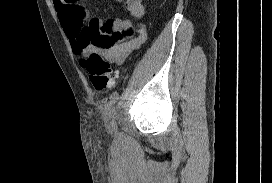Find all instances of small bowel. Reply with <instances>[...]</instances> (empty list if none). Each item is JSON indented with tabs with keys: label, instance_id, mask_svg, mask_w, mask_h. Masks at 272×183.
Segmentation results:
<instances>
[{
	"label": "small bowel",
	"instance_id": "small-bowel-1",
	"mask_svg": "<svg viewBox=\"0 0 272 183\" xmlns=\"http://www.w3.org/2000/svg\"><path fill=\"white\" fill-rule=\"evenodd\" d=\"M85 1L53 0L73 51L82 58L95 53L121 65L131 53L142 47L147 38V27L142 21L145 15L142 0H117L123 2L128 13L138 21L135 28L127 19L104 22L91 15L84 6Z\"/></svg>",
	"mask_w": 272,
	"mask_h": 183
}]
</instances>
